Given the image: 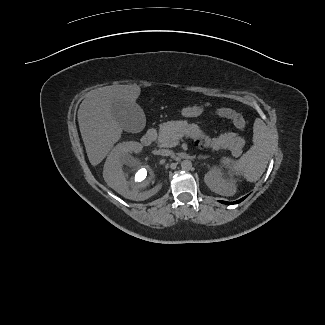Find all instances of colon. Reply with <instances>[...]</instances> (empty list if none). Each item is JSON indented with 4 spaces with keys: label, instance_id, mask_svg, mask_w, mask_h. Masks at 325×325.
<instances>
[{
    "label": "colon",
    "instance_id": "colon-1",
    "mask_svg": "<svg viewBox=\"0 0 325 325\" xmlns=\"http://www.w3.org/2000/svg\"><path fill=\"white\" fill-rule=\"evenodd\" d=\"M216 114L219 117L231 120L234 126L240 130L245 129L246 127V121L243 116L233 109L219 108L216 110Z\"/></svg>",
    "mask_w": 325,
    "mask_h": 325
}]
</instances>
